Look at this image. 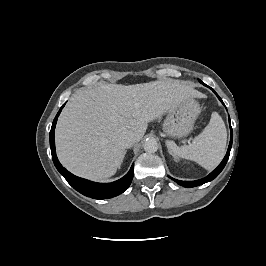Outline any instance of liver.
Segmentation results:
<instances>
[{"mask_svg":"<svg viewBox=\"0 0 266 266\" xmlns=\"http://www.w3.org/2000/svg\"><path fill=\"white\" fill-rule=\"evenodd\" d=\"M199 95L187 82L172 79L80 89L58 119L57 156L77 176L94 181L107 179L125 157L124 135L132 134L136 142L140 141L149 122Z\"/></svg>","mask_w":266,"mask_h":266,"instance_id":"obj_1","label":"liver"}]
</instances>
